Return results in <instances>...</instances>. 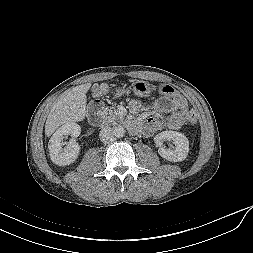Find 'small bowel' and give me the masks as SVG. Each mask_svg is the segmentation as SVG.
<instances>
[{"label": "small bowel", "instance_id": "c3829d8e", "mask_svg": "<svg viewBox=\"0 0 253 253\" xmlns=\"http://www.w3.org/2000/svg\"><path fill=\"white\" fill-rule=\"evenodd\" d=\"M129 107L134 114L141 113L145 110L144 104L139 100H132ZM153 108L161 113L168 114L169 117L166 121H161L153 117H143L136 125L148 133H154L162 129H179L189 116L188 103L178 93L157 100L153 104Z\"/></svg>", "mask_w": 253, "mask_h": 253}]
</instances>
